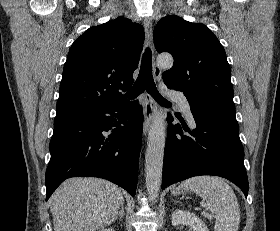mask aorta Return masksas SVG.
Here are the masks:
<instances>
[{
    "mask_svg": "<svg viewBox=\"0 0 280 231\" xmlns=\"http://www.w3.org/2000/svg\"><path fill=\"white\" fill-rule=\"evenodd\" d=\"M157 64L159 68H171L173 58L170 54H160ZM165 135V117L163 114H156L149 131L145 155V183L150 201L156 199L161 187Z\"/></svg>",
    "mask_w": 280,
    "mask_h": 231,
    "instance_id": "obj_1",
    "label": "aorta"
}]
</instances>
